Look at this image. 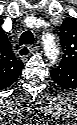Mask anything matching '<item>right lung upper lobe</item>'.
Segmentation results:
<instances>
[{"label": "right lung upper lobe", "instance_id": "1", "mask_svg": "<svg viewBox=\"0 0 77 125\" xmlns=\"http://www.w3.org/2000/svg\"><path fill=\"white\" fill-rule=\"evenodd\" d=\"M23 63L16 59L3 30L0 31V86L7 88L19 77Z\"/></svg>", "mask_w": 77, "mask_h": 125}]
</instances>
